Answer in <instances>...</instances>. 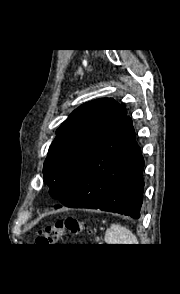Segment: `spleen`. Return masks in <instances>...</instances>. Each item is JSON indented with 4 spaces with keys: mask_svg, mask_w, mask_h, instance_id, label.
<instances>
[{
    "mask_svg": "<svg viewBox=\"0 0 180 294\" xmlns=\"http://www.w3.org/2000/svg\"><path fill=\"white\" fill-rule=\"evenodd\" d=\"M107 244H138L136 236L126 227L112 224L105 233Z\"/></svg>",
    "mask_w": 180,
    "mask_h": 294,
    "instance_id": "obj_1",
    "label": "spleen"
}]
</instances>
